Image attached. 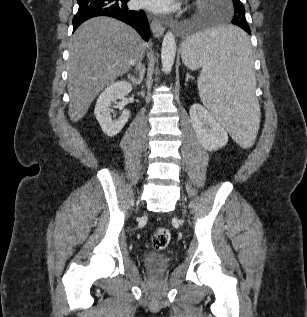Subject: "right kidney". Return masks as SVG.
<instances>
[{
  "label": "right kidney",
  "instance_id": "obj_1",
  "mask_svg": "<svg viewBox=\"0 0 307 317\" xmlns=\"http://www.w3.org/2000/svg\"><path fill=\"white\" fill-rule=\"evenodd\" d=\"M131 91L132 85L129 82L122 80L110 84L99 95L94 109V115L107 136L113 137L117 135L127 123L130 117L129 110L124 109L118 119L112 120V110L110 109V106L117 100L124 99Z\"/></svg>",
  "mask_w": 307,
  "mask_h": 317
}]
</instances>
